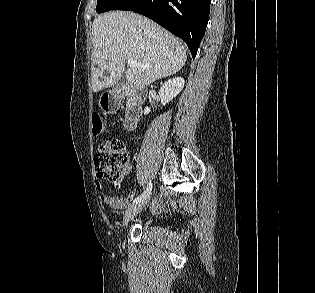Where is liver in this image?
I'll return each instance as SVG.
<instances>
[{
  "instance_id": "6515ba94",
  "label": "liver",
  "mask_w": 315,
  "mask_h": 293,
  "mask_svg": "<svg viewBox=\"0 0 315 293\" xmlns=\"http://www.w3.org/2000/svg\"><path fill=\"white\" fill-rule=\"evenodd\" d=\"M92 43V60L97 65L92 77L94 92L113 86L124 72L129 84L149 85L180 71L187 59L179 39L133 12L115 11L96 17ZM129 59L143 66L125 70Z\"/></svg>"
}]
</instances>
